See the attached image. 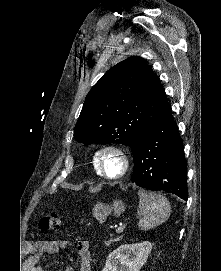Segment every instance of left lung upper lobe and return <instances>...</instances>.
<instances>
[{"mask_svg": "<svg viewBox=\"0 0 221 271\" xmlns=\"http://www.w3.org/2000/svg\"><path fill=\"white\" fill-rule=\"evenodd\" d=\"M171 107L159 78L140 57L110 68L89 91L74 135L79 143H121L131 147Z\"/></svg>", "mask_w": 221, "mask_h": 271, "instance_id": "5c2ea615", "label": "left lung upper lobe"}]
</instances>
